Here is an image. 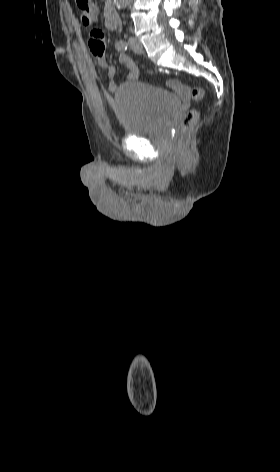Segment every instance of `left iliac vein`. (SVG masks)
Segmentation results:
<instances>
[{"label": "left iliac vein", "mask_w": 280, "mask_h": 472, "mask_svg": "<svg viewBox=\"0 0 280 472\" xmlns=\"http://www.w3.org/2000/svg\"><path fill=\"white\" fill-rule=\"evenodd\" d=\"M128 44L130 48L137 54H142L143 53V46L140 40H138L135 37H131L128 40Z\"/></svg>", "instance_id": "1"}]
</instances>
